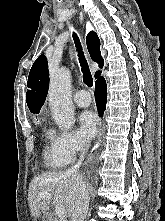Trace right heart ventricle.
I'll return each instance as SVG.
<instances>
[{
  "label": "right heart ventricle",
  "instance_id": "1",
  "mask_svg": "<svg viewBox=\"0 0 165 221\" xmlns=\"http://www.w3.org/2000/svg\"><path fill=\"white\" fill-rule=\"evenodd\" d=\"M53 135L48 133L46 135V149H45V162L50 168H62L65 167L69 161L57 156L52 148Z\"/></svg>",
  "mask_w": 165,
  "mask_h": 221
}]
</instances>
